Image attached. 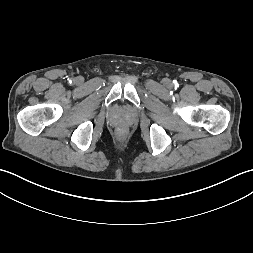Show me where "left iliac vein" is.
Masks as SVG:
<instances>
[{"mask_svg":"<svg viewBox=\"0 0 253 253\" xmlns=\"http://www.w3.org/2000/svg\"><path fill=\"white\" fill-rule=\"evenodd\" d=\"M166 86H170V81L168 79L165 80Z\"/></svg>","mask_w":253,"mask_h":253,"instance_id":"4c4485c4","label":"left iliac vein"}]
</instances>
